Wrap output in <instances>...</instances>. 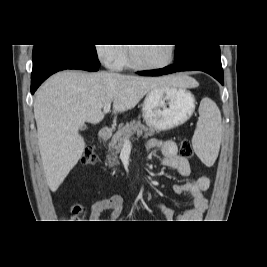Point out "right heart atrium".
<instances>
[{
    "label": "right heart atrium",
    "mask_w": 267,
    "mask_h": 267,
    "mask_svg": "<svg viewBox=\"0 0 267 267\" xmlns=\"http://www.w3.org/2000/svg\"><path fill=\"white\" fill-rule=\"evenodd\" d=\"M98 59L109 69H117L124 49L119 45H96Z\"/></svg>",
    "instance_id": "obj_1"
}]
</instances>
